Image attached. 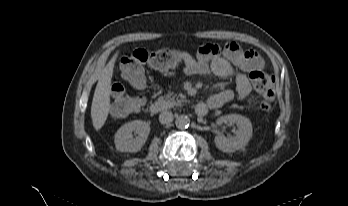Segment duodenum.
<instances>
[{
    "mask_svg": "<svg viewBox=\"0 0 348 206\" xmlns=\"http://www.w3.org/2000/svg\"><path fill=\"white\" fill-rule=\"evenodd\" d=\"M150 112L152 114H157V113H160V112H163V111H166L168 109V105L165 101H162V100H157V101H154L151 105H150ZM211 109V106L209 103L207 104H198L196 106V114L199 115V116H204L206 115L209 110Z\"/></svg>",
    "mask_w": 348,
    "mask_h": 206,
    "instance_id": "410a0bca",
    "label": "duodenum"
}]
</instances>
